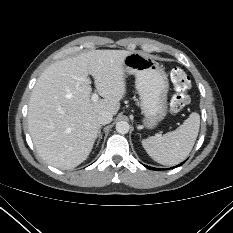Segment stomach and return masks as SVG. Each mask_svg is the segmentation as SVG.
<instances>
[{"label": "stomach", "instance_id": "stomach-1", "mask_svg": "<svg viewBox=\"0 0 233 233\" xmlns=\"http://www.w3.org/2000/svg\"><path fill=\"white\" fill-rule=\"evenodd\" d=\"M124 71L135 75L145 127L155 128L168 111L169 82L164 68L151 56L132 52L124 59Z\"/></svg>", "mask_w": 233, "mask_h": 233}]
</instances>
